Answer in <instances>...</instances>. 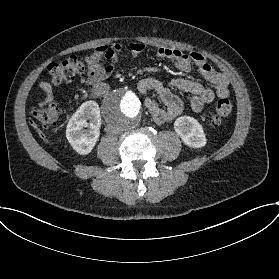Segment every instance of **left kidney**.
<instances>
[{"label":"left kidney","instance_id":"obj_1","mask_svg":"<svg viewBox=\"0 0 279 279\" xmlns=\"http://www.w3.org/2000/svg\"><path fill=\"white\" fill-rule=\"evenodd\" d=\"M174 130L183 144L189 148L199 149L207 145L204 128L194 117H178L174 122Z\"/></svg>","mask_w":279,"mask_h":279}]
</instances>
